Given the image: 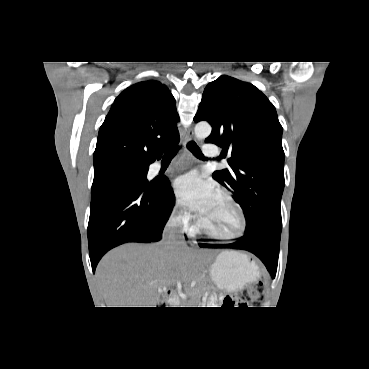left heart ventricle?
Wrapping results in <instances>:
<instances>
[{
	"label": "left heart ventricle",
	"mask_w": 369,
	"mask_h": 369,
	"mask_svg": "<svg viewBox=\"0 0 369 369\" xmlns=\"http://www.w3.org/2000/svg\"><path fill=\"white\" fill-rule=\"evenodd\" d=\"M200 219L205 227L220 235L235 234L239 228L237 212L219 195Z\"/></svg>",
	"instance_id": "b2bd125f"
}]
</instances>
